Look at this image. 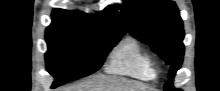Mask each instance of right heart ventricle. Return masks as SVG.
<instances>
[{"mask_svg":"<svg viewBox=\"0 0 220 91\" xmlns=\"http://www.w3.org/2000/svg\"><path fill=\"white\" fill-rule=\"evenodd\" d=\"M107 72L148 82L156 78L155 60L138 40L126 38L112 51Z\"/></svg>","mask_w":220,"mask_h":91,"instance_id":"e07e8e85","label":"right heart ventricle"}]
</instances>
